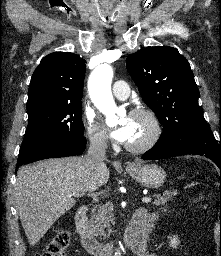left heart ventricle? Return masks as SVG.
I'll return each mask as SVG.
<instances>
[{
    "mask_svg": "<svg viewBox=\"0 0 221 256\" xmlns=\"http://www.w3.org/2000/svg\"><path fill=\"white\" fill-rule=\"evenodd\" d=\"M133 133L128 143L136 144L145 140L150 134L151 127L148 120L143 116H132Z\"/></svg>",
    "mask_w": 221,
    "mask_h": 256,
    "instance_id": "obj_1",
    "label": "left heart ventricle"
}]
</instances>
